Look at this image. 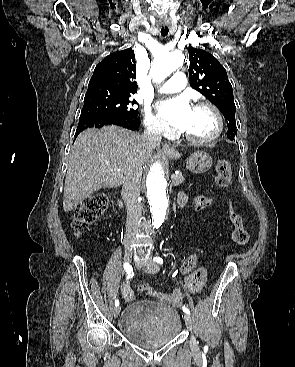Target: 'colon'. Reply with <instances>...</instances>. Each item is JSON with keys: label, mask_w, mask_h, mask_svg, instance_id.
I'll return each mask as SVG.
<instances>
[{"label": "colon", "mask_w": 295, "mask_h": 367, "mask_svg": "<svg viewBox=\"0 0 295 367\" xmlns=\"http://www.w3.org/2000/svg\"><path fill=\"white\" fill-rule=\"evenodd\" d=\"M216 183L219 187H228L231 183L232 171L231 164L226 159H220L216 163ZM213 195H193L191 200L193 206L191 209L195 212H207L208 208L215 201ZM108 198L104 193H97L87 197L75 209L73 214L72 226L75 234H80L90 224H92L106 209ZM229 220L233 225L232 239L238 246H245L248 243L249 236L244 228L241 215L234 209L230 203L228 205ZM141 290L146 294L153 292L147 284L141 285Z\"/></svg>", "instance_id": "1"}]
</instances>
